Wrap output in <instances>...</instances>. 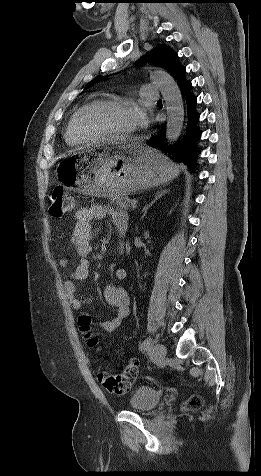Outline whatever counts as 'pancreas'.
I'll list each match as a JSON object with an SVG mask.
<instances>
[{"label":"pancreas","mask_w":261,"mask_h":476,"mask_svg":"<svg viewBox=\"0 0 261 476\" xmlns=\"http://www.w3.org/2000/svg\"><path fill=\"white\" fill-rule=\"evenodd\" d=\"M131 200L128 197H117L112 199V203L120 210L127 211L130 209Z\"/></svg>","instance_id":"1"}]
</instances>
